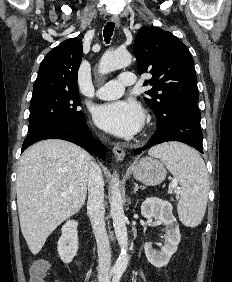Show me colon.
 Returning a JSON list of instances; mask_svg holds the SVG:
<instances>
[{
  "label": "colon",
  "mask_w": 232,
  "mask_h": 282,
  "mask_svg": "<svg viewBox=\"0 0 232 282\" xmlns=\"http://www.w3.org/2000/svg\"><path fill=\"white\" fill-rule=\"evenodd\" d=\"M49 264L44 260L36 261L31 268L30 282H47Z\"/></svg>",
  "instance_id": "obj_1"
}]
</instances>
